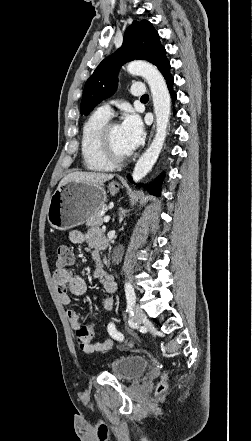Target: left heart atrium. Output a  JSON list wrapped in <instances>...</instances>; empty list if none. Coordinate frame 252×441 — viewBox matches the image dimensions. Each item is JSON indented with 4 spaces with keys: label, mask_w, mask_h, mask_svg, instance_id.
I'll use <instances>...</instances> for the list:
<instances>
[{
    "label": "left heart atrium",
    "mask_w": 252,
    "mask_h": 441,
    "mask_svg": "<svg viewBox=\"0 0 252 441\" xmlns=\"http://www.w3.org/2000/svg\"><path fill=\"white\" fill-rule=\"evenodd\" d=\"M122 141L128 154L132 153L144 139V129L137 114L128 111L120 124Z\"/></svg>",
    "instance_id": "1"
}]
</instances>
